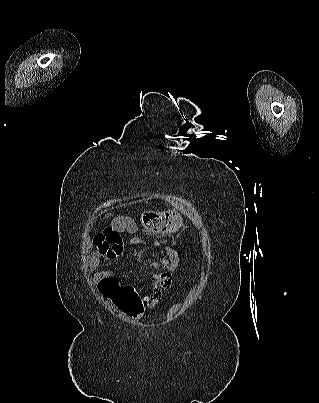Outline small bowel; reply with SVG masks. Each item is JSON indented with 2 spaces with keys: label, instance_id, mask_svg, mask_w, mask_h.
<instances>
[{
  "label": "small bowel",
  "instance_id": "1",
  "mask_svg": "<svg viewBox=\"0 0 319 403\" xmlns=\"http://www.w3.org/2000/svg\"><path fill=\"white\" fill-rule=\"evenodd\" d=\"M135 230L136 225L130 221L129 213H118L114 219V224H105L103 229L95 231L93 238L95 250L87 255L84 267L85 270L94 272L99 293L111 302L112 309H119L123 315L140 319L147 309H154L160 304L165 292L162 291V288L170 285L178 265V259L176 253L169 250L163 272L152 275L153 283L149 286V293L140 298L139 284H124L123 279L113 277L109 270L102 268L105 262L114 260L120 254L126 253L124 238L128 232ZM155 262L154 266L156 267Z\"/></svg>",
  "mask_w": 319,
  "mask_h": 403
}]
</instances>
